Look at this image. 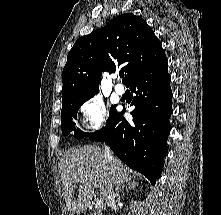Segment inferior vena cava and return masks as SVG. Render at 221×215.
Returning a JSON list of instances; mask_svg holds the SVG:
<instances>
[{
    "label": "inferior vena cava",
    "instance_id": "602c4592",
    "mask_svg": "<svg viewBox=\"0 0 221 215\" xmlns=\"http://www.w3.org/2000/svg\"><path fill=\"white\" fill-rule=\"evenodd\" d=\"M105 156L110 160L112 161L113 160V157L111 156L110 154V150L109 148L106 146L105 147ZM115 192H114V185L111 183L110 186H109V190H108V193H107V196L105 198V203L107 204V206H111L114 202H115Z\"/></svg>",
    "mask_w": 221,
    "mask_h": 215
}]
</instances>
